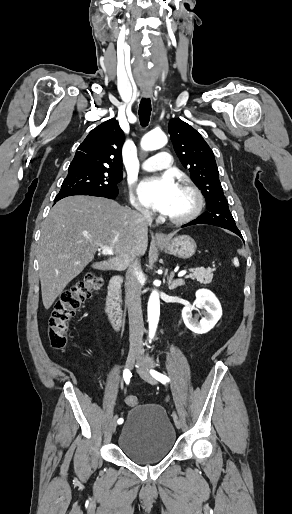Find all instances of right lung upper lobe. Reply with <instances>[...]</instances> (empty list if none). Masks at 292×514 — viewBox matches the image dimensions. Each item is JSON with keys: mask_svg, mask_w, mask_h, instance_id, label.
Segmentation results:
<instances>
[{"mask_svg": "<svg viewBox=\"0 0 292 514\" xmlns=\"http://www.w3.org/2000/svg\"><path fill=\"white\" fill-rule=\"evenodd\" d=\"M124 132L115 119H110L90 131L77 148L68 168L73 172L122 173Z\"/></svg>", "mask_w": 292, "mask_h": 514, "instance_id": "obj_1", "label": "right lung upper lobe"}]
</instances>
